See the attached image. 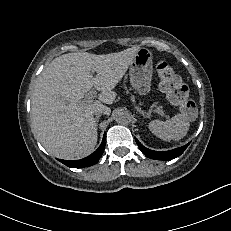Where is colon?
Segmentation results:
<instances>
[{
    "label": "colon",
    "mask_w": 231,
    "mask_h": 231,
    "mask_svg": "<svg viewBox=\"0 0 231 231\" xmlns=\"http://www.w3.org/2000/svg\"><path fill=\"white\" fill-rule=\"evenodd\" d=\"M156 70L160 88L169 102L177 106L184 116L193 119L197 114V106L190 98L189 89L177 74L176 69L166 62H160Z\"/></svg>",
    "instance_id": "obj_1"
}]
</instances>
